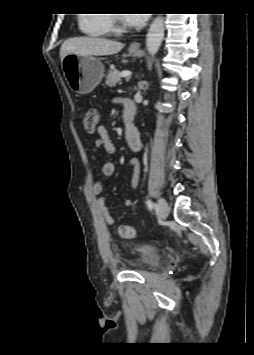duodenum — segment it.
I'll return each mask as SVG.
<instances>
[{
	"label": "duodenum",
	"mask_w": 254,
	"mask_h": 355,
	"mask_svg": "<svg viewBox=\"0 0 254 355\" xmlns=\"http://www.w3.org/2000/svg\"><path fill=\"white\" fill-rule=\"evenodd\" d=\"M128 100V99H126ZM131 101V100H129ZM129 101L126 102V107H127V111L124 113V127L126 132H131L134 129H136L135 127V123H134V103H130Z\"/></svg>",
	"instance_id": "duodenum-1"
}]
</instances>
